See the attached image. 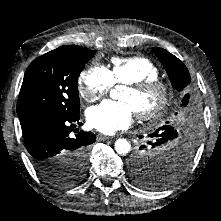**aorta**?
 <instances>
[{"label": "aorta", "instance_id": "1", "mask_svg": "<svg viewBox=\"0 0 221 221\" xmlns=\"http://www.w3.org/2000/svg\"><path fill=\"white\" fill-rule=\"evenodd\" d=\"M115 151L119 155H127L131 150V145L126 139H118L114 144Z\"/></svg>", "mask_w": 221, "mask_h": 221}]
</instances>
